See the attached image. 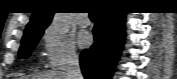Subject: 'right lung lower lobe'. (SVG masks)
<instances>
[{"mask_svg": "<svg viewBox=\"0 0 177 79\" xmlns=\"http://www.w3.org/2000/svg\"><path fill=\"white\" fill-rule=\"evenodd\" d=\"M125 13L100 12L94 44L81 53L80 65L86 79H110L124 42Z\"/></svg>", "mask_w": 177, "mask_h": 79, "instance_id": "98d812e1", "label": "right lung lower lobe"}]
</instances>
